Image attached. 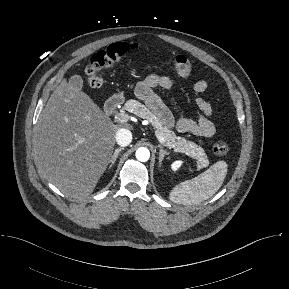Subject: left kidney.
Instances as JSON below:
<instances>
[{
	"mask_svg": "<svg viewBox=\"0 0 289 289\" xmlns=\"http://www.w3.org/2000/svg\"><path fill=\"white\" fill-rule=\"evenodd\" d=\"M182 162L181 161H175L172 165L171 168L173 171H177L179 167L181 166Z\"/></svg>",
	"mask_w": 289,
	"mask_h": 289,
	"instance_id": "5707ae66",
	"label": "left kidney"
}]
</instances>
